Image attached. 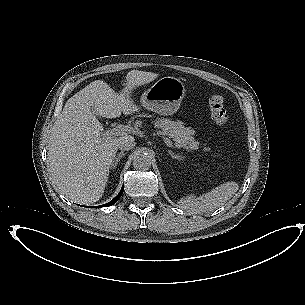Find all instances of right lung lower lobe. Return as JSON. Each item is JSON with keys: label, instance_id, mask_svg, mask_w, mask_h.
<instances>
[{"label": "right lung lower lobe", "instance_id": "1", "mask_svg": "<svg viewBox=\"0 0 305 305\" xmlns=\"http://www.w3.org/2000/svg\"><path fill=\"white\" fill-rule=\"evenodd\" d=\"M123 190H124V186L122 187L121 191L119 192V194L110 202L104 204V205H101V206H98V207H95V208H101V207H108V206H111L113 205L116 201H118V199L121 197L122 193H123Z\"/></svg>", "mask_w": 305, "mask_h": 305}]
</instances>
